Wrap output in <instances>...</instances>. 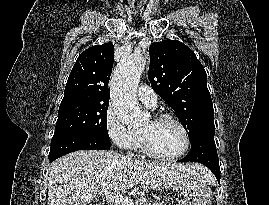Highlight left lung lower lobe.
<instances>
[{"mask_svg": "<svg viewBox=\"0 0 269 205\" xmlns=\"http://www.w3.org/2000/svg\"><path fill=\"white\" fill-rule=\"evenodd\" d=\"M215 130H208L200 134L194 142L189 154L179 162H198L208 167L220 182L219 160L214 141Z\"/></svg>", "mask_w": 269, "mask_h": 205, "instance_id": "obj_1", "label": "left lung lower lobe"}]
</instances>
